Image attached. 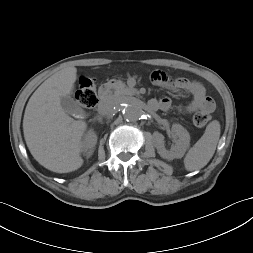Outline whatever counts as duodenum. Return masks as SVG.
<instances>
[{"label":"duodenum","mask_w":253,"mask_h":253,"mask_svg":"<svg viewBox=\"0 0 253 253\" xmlns=\"http://www.w3.org/2000/svg\"><path fill=\"white\" fill-rule=\"evenodd\" d=\"M113 84L114 82H108L99 89V97L101 100H104L107 97L109 89Z\"/></svg>","instance_id":"410a0bca"}]
</instances>
